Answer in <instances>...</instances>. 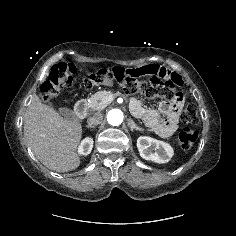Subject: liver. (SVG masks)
Returning <instances> with one entry per match:
<instances>
[{
	"mask_svg": "<svg viewBox=\"0 0 236 236\" xmlns=\"http://www.w3.org/2000/svg\"><path fill=\"white\" fill-rule=\"evenodd\" d=\"M24 136L36 158L56 172H68L80 165L77 148L82 126L76 119L63 118L37 96L30 99L24 117Z\"/></svg>",
	"mask_w": 236,
	"mask_h": 236,
	"instance_id": "obj_1",
	"label": "liver"
}]
</instances>
